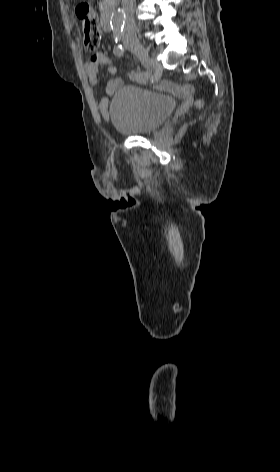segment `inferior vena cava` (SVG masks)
<instances>
[{
  "instance_id": "602c4592",
  "label": "inferior vena cava",
  "mask_w": 280,
  "mask_h": 472,
  "mask_svg": "<svg viewBox=\"0 0 280 472\" xmlns=\"http://www.w3.org/2000/svg\"><path fill=\"white\" fill-rule=\"evenodd\" d=\"M134 2L135 0H122V6L126 15L125 29L132 33L135 32Z\"/></svg>"
}]
</instances>
